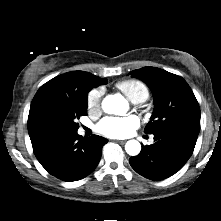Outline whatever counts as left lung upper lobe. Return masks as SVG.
<instances>
[{"instance_id": "left-lung-upper-lobe-1", "label": "left lung upper lobe", "mask_w": 221, "mask_h": 221, "mask_svg": "<svg viewBox=\"0 0 221 221\" xmlns=\"http://www.w3.org/2000/svg\"><path fill=\"white\" fill-rule=\"evenodd\" d=\"M131 74L146 82L153 92L155 108L145 128L146 134L168 128L199 134V104L182 77L156 67H143L133 70Z\"/></svg>"}]
</instances>
